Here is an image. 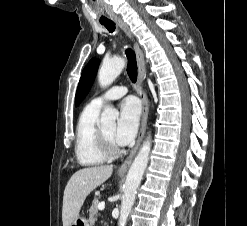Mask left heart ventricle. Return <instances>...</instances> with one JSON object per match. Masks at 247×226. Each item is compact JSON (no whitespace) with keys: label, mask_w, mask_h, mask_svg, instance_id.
<instances>
[{"label":"left heart ventricle","mask_w":247,"mask_h":226,"mask_svg":"<svg viewBox=\"0 0 247 226\" xmlns=\"http://www.w3.org/2000/svg\"><path fill=\"white\" fill-rule=\"evenodd\" d=\"M115 127L114 125H110L107 127H103L102 131L105 135V137L107 138V140L110 142L111 145H117L113 139V133H114Z\"/></svg>","instance_id":"obj_1"}]
</instances>
